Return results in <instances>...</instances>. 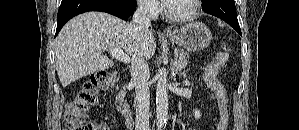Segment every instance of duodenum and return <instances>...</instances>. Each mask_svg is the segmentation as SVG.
<instances>
[{
  "label": "duodenum",
  "instance_id": "1",
  "mask_svg": "<svg viewBox=\"0 0 299 130\" xmlns=\"http://www.w3.org/2000/svg\"><path fill=\"white\" fill-rule=\"evenodd\" d=\"M128 84H125L118 92L115 98V104L118 111L126 118L127 127L132 129L133 118L130 104L127 101Z\"/></svg>",
  "mask_w": 299,
  "mask_h": 130
}]
</instances>
